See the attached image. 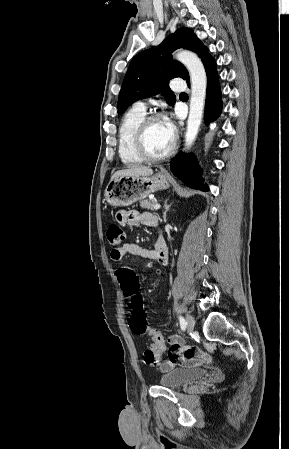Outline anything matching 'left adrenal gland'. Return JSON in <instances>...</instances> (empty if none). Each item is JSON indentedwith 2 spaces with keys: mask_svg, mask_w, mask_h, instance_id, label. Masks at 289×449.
Returning <instances> with one entry per match:
<instances>
[{
  "mask_svg": "<svg viewBox=\"0 0 289 449\" xmlns=\"http://www.w3.org/2000/svg\"><path fill=\"white\" fill-rule=\"evenodd\" d=\"M164 208H165V211L163 213V218H164V222H166V214L170 208V205L167 204V200L164 202Z\"/></svg>",
  "mask_w": 289,
  "mask_h": 449,
  "instance_id": "obj_1",
  "label": "left adrenal gland"
}]
</instances>
